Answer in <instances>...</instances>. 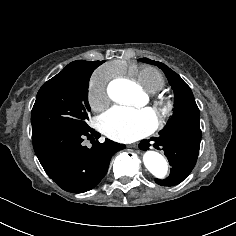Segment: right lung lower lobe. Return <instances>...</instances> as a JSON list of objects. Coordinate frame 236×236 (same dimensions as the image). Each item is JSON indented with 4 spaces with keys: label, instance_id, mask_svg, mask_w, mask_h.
<instances>
[{
    "label": "right lung lower lobe",
    "instance_id": "98d812e1",
    "mask_svg": "<svg viewBox=\"0 0 236 236\" xmlns=\"http://www.w3.org/2000/svg\"><path fill=\"white\" fill-rule=\"evenodd\" d=\"M100 137L89 126L84 130L60 127L32 134L34 151L46 173L64 190L83 193L94 188L105 176L111 157L124 149L106 139L88 148L83 138ZM92 140H94L92 138Z\"/></svg>",
    "mask_w": 236,
    "mask_h": 236
}]
</instances>
